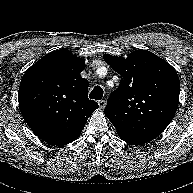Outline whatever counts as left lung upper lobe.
<instances>
[{
  "label": "left lung upper lobe",
  "instance_id": "5c2ea615",
  "mask_svg": "<svg viewBox=\"0 0 193 193\" xmlns=\"http://www.w3.org/2000/svg\"><path fill=\"white\" fill-rule=\"evenodd\" d=\"M104 60L122 77L104 110L117 133L160 135L179 104L176 70L147 50H135L127 58L104 54Z\"/></svg>",
  "mask_w": 193,
  "mask_h": 193
}]
</instances>
